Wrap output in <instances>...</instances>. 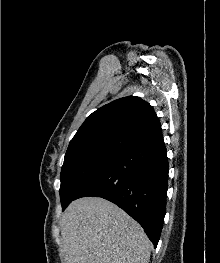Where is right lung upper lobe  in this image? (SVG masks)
<instances>
[{
	"label": "right lung upper lobe",
	"mask_w": 220,
	"mask_h": 263,
	"mask_svg": "<svg viewBox=\"0 0 220 263\" xmlns=\"http://www.w3.org/2000/svg\"><path fill=\"white\" fill-rule=\"evenodd\" d=\"M161 133L159 119L149 103L136 96L123 97L89 115L70 141L67 152L93 148L123 150Z\"/></svg>",
	"instance_id": "cb5924a9"
}]
</instances>
